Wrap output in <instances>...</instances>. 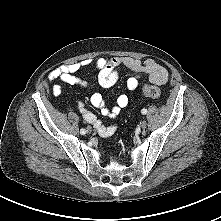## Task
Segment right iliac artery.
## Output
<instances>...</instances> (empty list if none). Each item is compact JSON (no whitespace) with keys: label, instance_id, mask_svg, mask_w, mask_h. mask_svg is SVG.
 <instances>
[{"label":"right iliac artery","instance_id":"82829eb1","mask_svg":"<svg viewBox=\"0 0 221 221\" xmlns=\"http://www.w3.org/2000/svg\"><path fill=\"white\" fill-rule=\"evenodd\" d=\"M80 133H81L82 135H84V134L86 133V130H85V129H81V130H80Z\"/></svg>","mask_w":221,"mask_h":221}]
</instances>
